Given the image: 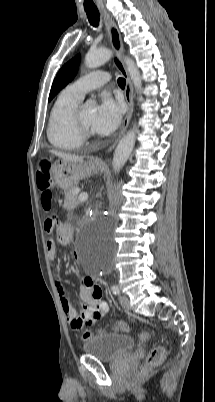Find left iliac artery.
<instances>
[{"mask_svg": "<svg viewBox=\"0 0 215 402\" xmlns=\"http://www.w3.org/2000/svg\"><path fill=\"white\" fill-rule=\"evenodd\" d=\"M111 290H112L113 294H115V295H119V294H120V291H119V288H118L117 285H113V286L111 287Z\"/></svg>", "mask_w": 215, "mask_h": 402, "instance_id": "44dca946", "label": "left iliac artery"}]
</instances>
